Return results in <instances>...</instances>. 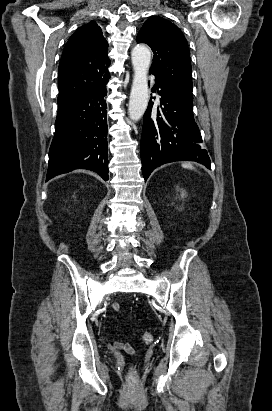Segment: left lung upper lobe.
I'll return each instance as SVG.
<instances>
[{
	"label": "left lung upper lobe",
	"instance_id": "5c2ea615",
	"mask_svg": "<svg viewBox=\"0 0 272 411\" xmlns=\"http://www.w3.org/2000/svg\"><path fill=\"white\" fill-rule=\"evenodd\" d=\"M136 40L153 50L151 72L155 80L193 99L190 52L180 29L164 18L152 16L145 21Z\"/></svg>",
	"mask_w": 272,
	"mask_h": 411
}]
</instances>
